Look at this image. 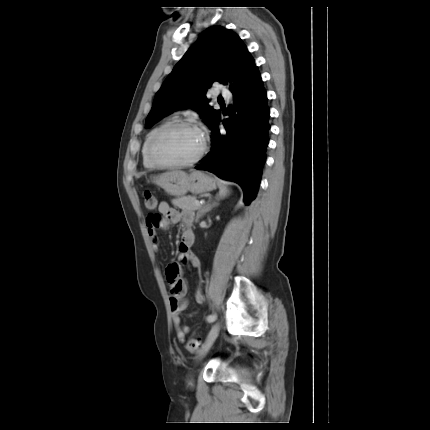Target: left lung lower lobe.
Instances as JSON below:
<instances>
[{
  "label": "left lung lower lobe",
  "mask_w": 430,
  "mask_h": 430,
  "mask_svg": "<svg viewBox=\"0 0 430 430\" xmlns=\"http://www.w3.org/2000/svg\"><path fill=\"white\" fill-rule=\"evenodd\" d=\"M232 93L234 106L227 110L230 118L222 121L225 131L219 130L221 113H218L209 124L212 150L196 169L238 183L248 205L256 197L266 160L270 110L259 72L243 78Z\"/></svg>",
  "instance_id": "left-lung-lower-lobe-1"
}]
</instances>
